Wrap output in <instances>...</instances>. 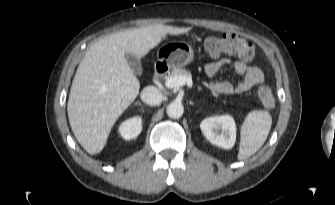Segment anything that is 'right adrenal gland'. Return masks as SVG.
<instances>
[{
	"mask_svg": "<svg viewBox=\"0 0 335 205\" xmlns=\"http://www.w3.org/2000/svg\"><path fill=\"white\" fill-rule=\"evenodd\" d=\"M135 105H140L141 106V103L138 101V102H136V104Z\"/></svg>",
	"mask_w": 335,
	"mask_h": 205,
	"instance_id": "right-adrenal-gland-1",
	"label": "right adrenal gland"
}]
</instances>
